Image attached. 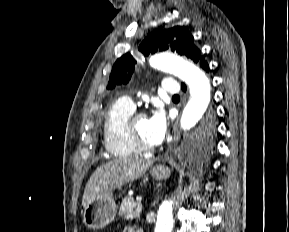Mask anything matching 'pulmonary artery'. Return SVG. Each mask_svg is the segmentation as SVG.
I'll use <instances>...</instances> for the list:
<instances>
[{
	"instance_id": "e3ab8cb5",
	"label": "pulmonary artery",
	"mask_w": 289,
	"mask_h": 232,
	"mask_svg": "<svg viewBox=\"0 0 289 232\" xmlns=\"http://www.w3.org/2000/svg\"><path fill=\"white\" fill-rule=\"evenodd\" d=\"M162 89L168 94H178L180 91V86L178 82L172 78H167L162 83ZM132 108L135 107L134 102L129 97L123 98Z\"/></svg>"
}]
</instances>
